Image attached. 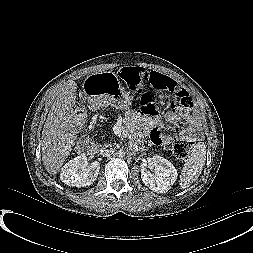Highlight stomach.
Wrapping results in <instances>:
<instances>
[{"instance_id": "1", "label": "stomach", "mask_w": 253, "mask_h": 253, "mask_svg": "<svg viewBox=\"0 0 253 253\" xmlns=\"http://www.w3.org/2000/svg\"><path fill=\"white\" fill-rule=\"evenodd\" d=\"M83 91L88 101L97 107L127 109L131 105V96L121 87L117 76L110 72L88 76Z\"/></svg>"}]
</instances>
